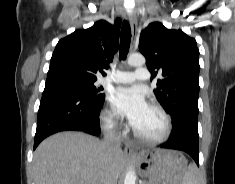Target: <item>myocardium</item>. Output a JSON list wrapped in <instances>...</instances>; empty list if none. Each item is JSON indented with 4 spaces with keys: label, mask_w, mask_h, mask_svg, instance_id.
Returning a JSON list of instances; mask_svg holds the SVG:
<instances>
[{
    "label": "myocardium",
    "mask_w": 235,
    "mask_h": 184,
    "mask_svg": "<svg viewBox=\"0 0 235 184\" xmlns=\"http://www.w3.org/2000/svg\"><path fill=\"white\" fill-rule=\"evenodd\" d=\"M149 107L158 111L162 115V117L164 118L165 130H164L163 134L158 137H144V136L140 135L135 130V128L132 129V133H133L134 138L139 142L151 144V145H158V144L166 142L171 137L172 130H173V122H172V118H171L170 114L161 105L152 103V104H150Z\"/></svg>",
    "instance_id": "myocardium-1"
}]
</instances>
